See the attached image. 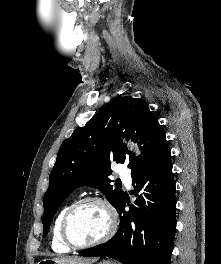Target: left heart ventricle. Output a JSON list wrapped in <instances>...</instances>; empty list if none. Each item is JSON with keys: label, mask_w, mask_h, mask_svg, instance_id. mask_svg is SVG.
Wrapping results in <instances>:
<instances>
[{"label": "left heart ventricle", "mask_w": 221, "mask_h": 264, "mask_svg": "<svg viewBox=\"0 0 221 264\" xmlns=\"http://www.w3.org/2000/svg\"><path fill=\"white\" fill-rule=\"evenodd\" d=\"M108 224V215L103 207L88 203L77 208L72 214L69 233L75 243H90L106 233Z\"/></svg>", "instance_id": "obj_1"}]
</instances>
